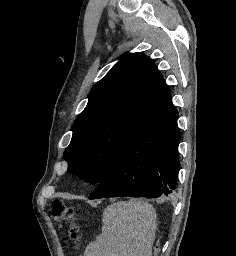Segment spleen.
I'll use <instances>...</instances> for the list:
<instances>
[{
    "mask_svg": "<svg viewBox=\"0 0 236 256\" xmlns=\"http://www.w3.org/2000/svg\"><path fill=\"white\" fill-rule=\"evenodd\" d=\"M156 218L153 206L142 200L110 204L103 212L102 234L84 256H152Z\"/></svg>",
    "mask_w": 236,
    "mask_h": 256,
    "instance_id": "3e777b00",
    "label": "spleen"
}]
</instances>
